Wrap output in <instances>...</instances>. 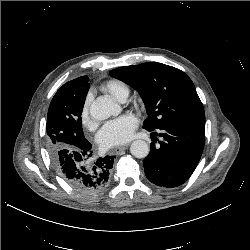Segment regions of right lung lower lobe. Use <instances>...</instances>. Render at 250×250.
I'll return each instance as SVG.
<instances>
[{"mask_svg": "<svg viewBox=\"0 0 250 250\" xmlns=\"http://www.w3.org/2000/svg\"><path fill=\"white\" fill-rule=\"evenodd\" d=\"M92 145L88 142L74 150L61 149L51 153L58 174L83 197L102 192L109 183L110 170L115 156H105L92 161Z\"/></svg>", "mask_w": 250, "mask_h": 250, "instance_id": "right-lung-lower-lobe-1", "label": "right lung lower lobe"}]
</instances>
